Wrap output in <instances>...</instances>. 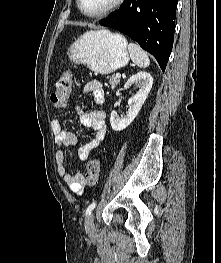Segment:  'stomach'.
I'll return each instance as SVG.
<instances>
[{
    "mask_svg": "<svg viewBox=\"0 0 221 263\" xmlns=\"http://www.w3.org/2000/svg\"><path fill=\"white\" fill-rule=\"evenodd\" d=\"M69 59L99 74L113 73L129 62L126 39L106 29L89 31L68 49Z\"/></svg>",
    "mask_w": 221,
    "mask_h": 263,
    "instance_id": "stomach-1",
    "label": "stomach"
}]
</instances>
